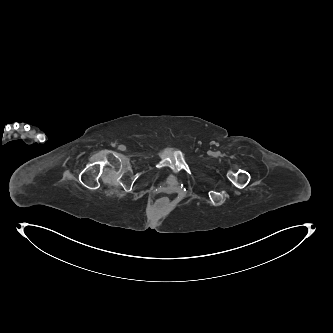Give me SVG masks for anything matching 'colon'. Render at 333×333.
Segmentation results:
<instances>
[{
    "mask_svg": "<svg viewBox=\"0 0 333 333\" xmlns=\"http://www.w3.org/2000/svg\"><path fill=\"white\" fill-rule=\"evenodd\" d=\"M169 205V199L167 197H160L156 200L155 206L157 208H166Z\"/></svg>",
    "mask_w": 333,
    "mask_h": 333,
    "instance_id": "5ec220e1",
    "label": "colon"
}]
</instances>
